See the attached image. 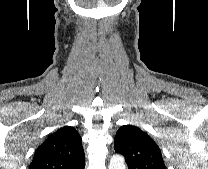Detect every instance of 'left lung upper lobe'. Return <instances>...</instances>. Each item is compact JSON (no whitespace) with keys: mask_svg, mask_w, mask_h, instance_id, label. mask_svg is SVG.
Masks as SVG:
<instances>
[{"mask_svg":"<svg viewBox=\"0 0 208 169\" xmlns=\"http://www.w3.org/2000/svg\"><path fill=\"white\" fill-rule=\"evenodd\" d=\"M115 152L126 157L129 169H166L158 145L133 125H123L114 138Z\"/></svg>","mask_w":208,"mask_h":169,"instance_id":"1","label":"left lung upper lobe"}]
</instances>
